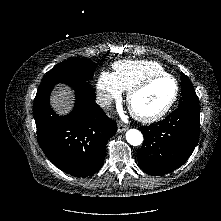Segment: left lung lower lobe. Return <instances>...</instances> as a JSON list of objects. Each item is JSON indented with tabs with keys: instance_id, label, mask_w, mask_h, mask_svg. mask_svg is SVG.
Returning a JSON list of instances; mask_svg holds the SVG:
<instances>
[{
	"instance_id": "1",
	"label": "left lung lower lobe",
	"mask_w": 221,
	"mask_h": 221,
	"mask_svg": "<svg viewBox=\"0 0 221 221\" xmlns=\"http://www.w3.org/2000/svg\"><path fill=\"white\" fill-rule=\"evenodd\" d=\"M144 142L138 152L140 168L153 176L183 165L192 154L200 134V108L178 107L162 121L140 127Z\"/></svg>"
}]
</instances>
